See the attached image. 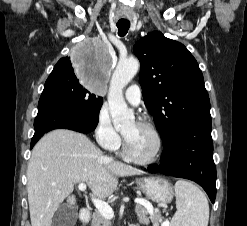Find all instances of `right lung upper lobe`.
Masks as SVG:
<instances>
[{
  "label": "right lung upper lobe",
  "instance_id": "cb5924a9",
  "mask_svg": "<svg viewBox=\"0 0 247 226\" xmlns=\"http://www.w3.org/2000/svg\"><path fill=\"white\" fill-rule=\"evenodd\" d=\"M68 61H69V58H68V57H63V58H61V59L58 61V63L55 65V67H59V66H61L62 64L67 63Z\"/></svg>",
  "mask_w": 247,
  "mask_h": 226
}]
</instances>
